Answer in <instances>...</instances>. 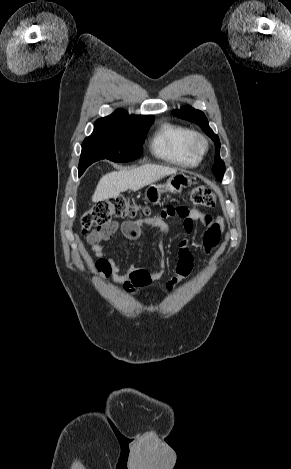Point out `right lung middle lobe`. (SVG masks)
I'll return each mask as SVG.
<instances>
[{"label": "right lung middle lobe", "mask_w": 291, "mask_h": 469, "mask_svg": "<svg viewBox=\"0 0 291 469\" xmlns=\"http://www.w3.org/2000/svg\"><path fill=\"white\" fill-rule=\"evenodd\" d=\"M153 121V117L137 120H97L93 133L82 143L79 175L100 159L114 162L138 159L142 155V141Z\"/></svg>", "instance_id": "right-lung-middle-lobe-1"}]
</instances>
